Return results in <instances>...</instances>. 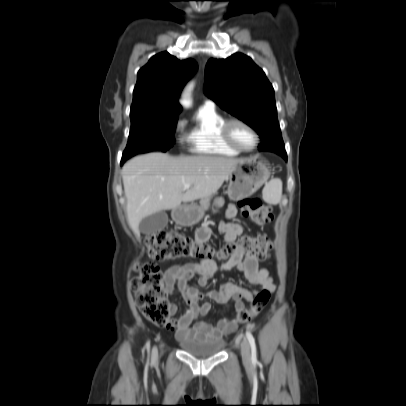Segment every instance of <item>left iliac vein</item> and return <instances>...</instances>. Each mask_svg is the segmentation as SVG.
<instances>
[{"mask_svg": "<svg viewBox=\"0 0 406 406\" xmlns=\"http://www.w3.org/2000/svg\"><path fill=\"white\" fill-rule=\"evenodd\" d=\"M241 355L243 362L247 365H250L251 364L250 345L246 339H244L241 342Z\"/></svg>", "mask_w": 406, "mask_h": 406, "instance_id": "4c4485c4", "label": "left iliac vein"}]
</instances>
